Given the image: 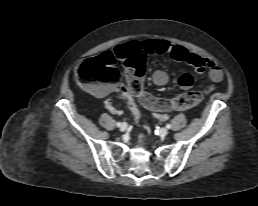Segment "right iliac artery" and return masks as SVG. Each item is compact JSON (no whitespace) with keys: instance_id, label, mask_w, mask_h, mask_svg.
Segmentation results:
<instances>
[{"instance_id":"right-iliac-artery-1","label":"right iliac artery","mask_w":258,"mask_h":206,"mask_svg":"<svg viewBox=\"0 0 258 206\" xmlns=\"http://www.w3.org/2000/svg\"><path fill=\"white\" fill-rule=\"evenodd\" d=\"M116 125H117L118 127H120V126L122 125V123H121V122H118Z\"/></svg>"}]
</instances>
